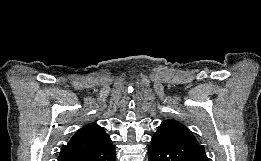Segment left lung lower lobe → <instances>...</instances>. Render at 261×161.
Segmentation results:
<instances>
[{"instance_id":"obj_1","label":"left lung lower lobe","mask_w":261,"mask_h":161,"mask_svg":"<svg viewBox=\"0 0 261 161\" xmlns=\"http://www.w3.org/2000/svg\"><path fill=\"white\" fill-rule=\"evenodd\" d=\"M148 161H208L204 147L155 133L148 145Z\"/></svg>"}]
</instances>
